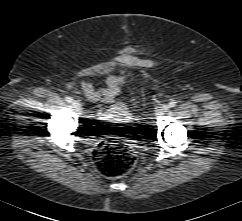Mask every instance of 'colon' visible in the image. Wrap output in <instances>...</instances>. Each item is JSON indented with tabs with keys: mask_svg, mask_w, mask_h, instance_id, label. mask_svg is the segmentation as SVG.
<instances>
[{
	"mask_svg": "<svg viewBox=\"0 0 242 221\" xmlns=\"http://www.w3.org/2000/svg\"><path fill=\"white\" fill-rule=\"evenodd\" d=\"M93 159L98 172L109 178L126 175L136 163V155L132 148L118 141L98 144L94 150Z\"/></svg>",
	"mask_w": 242,
	"mask_h": 221,
	"instance_id": "5ec220e1",
	"label": "colon"
}]
</instances>
